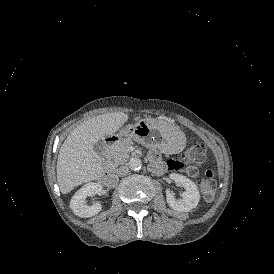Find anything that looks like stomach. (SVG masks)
Returning a JSON list of instances; mask_svg holds the SVG:
<instances>
[{"label":"stomach","instance_id":"0dacf381","mask_svg":"<svg viewBox=\"0 0 274 274\" xmlns=\"http://www.w3.org/2000/svg\"><path fill=\"white\" fill-rule=\"evenodd\" d=\"M177 129L178 126L171 122L146 117L121 128L115 136L118 139L131 138L145 147L157 148L171 155L180 153L186 145L184 134L179 135Z\"/></svg>","mask_w":274,"mask_h":274}]
</instances>
